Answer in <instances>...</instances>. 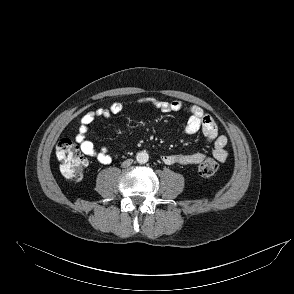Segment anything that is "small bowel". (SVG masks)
<instances>
[{"mask_svg": "<svg viewBox=\"0 0 294 294\" xmlns=\"http://www.w3.org/2000/svg\"><path fill=\"white\" fill-rule=\"evenodd\" d=\"M156 108L163 112H179L183 110L184 104L179 100L159 101L154 99H146ZM126 103L115 101L108 107H101L93 111L87 112L82 116L80 125L76 133V141L80 145L81 151L88 156L95 157L102 164H110L113 161L112 155L108 149L103 147L96 149L94 144L87 139L90 126L99 118L108 119L113 115L119 114L125 108ZM189 118L185 126L181 129L184 135H193L201 131L208 143H212L214 149L213 157L220 162L227 160L229 153L226 149L227 138L223 134L218 133V129L213 118L206 114L198 105L189 107ZM206 154L202 151H194L190 153H174L162 157L164 163L168 165H197Z\"/></svg>", "mask_w": 294, "mask_h": 294, "instance_id": "1", "label": "small bowel"}]
</instances>
